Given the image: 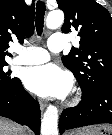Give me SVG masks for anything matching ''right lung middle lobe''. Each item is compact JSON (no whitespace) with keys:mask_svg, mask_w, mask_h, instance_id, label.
Returning <instances> with one entry per match:
<instances>
[{"mask_svg":"<svg viewBox=\"0 0 112 135\" xmlns=\"http://www.w3.org/2000/svg\"><path fill=\"white\" fill-rule=\"evenodd\" d=\"M5 65H7L6 61H0V92L10 89L19 80L10 76L11 71L3 69Z\"/></svg>","mask_w":112,"mask_h":135,"instance_id":"right-lung-middle-lobe-1","label":"right lung middle lobe"}]
</instances>
